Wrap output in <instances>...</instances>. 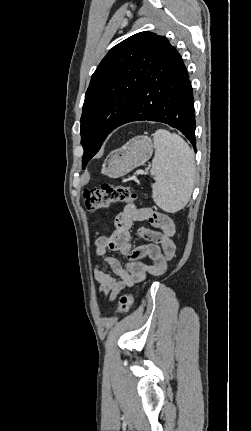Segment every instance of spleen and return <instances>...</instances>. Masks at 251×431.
<instances>
[{
	"instance_id": "1",
	"label": "spleen",
	"mask_w": 251,
	"mask_h": 431,
	"mask_svg": "<svg viewBox=\"0 0 251 431\" xmlns=\"http://www.w3.org/2000/svg\"><path fill=\"white\" fill-rule=\"evenodd\" d=\"M154 148L152 197L162 210L175 213L185 207L193 191L194 154L179 135L164 129L154 133Z\"/></svg>"
}]
</instances>
